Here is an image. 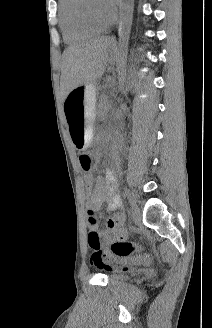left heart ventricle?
<instances>
[{
    "mask_svg": "<svg viewBox=\"0 0 212 328\" xmlns=\"http://www.w3.org/2000/svg\"><path fill=\"white\" fill-rule=\"evenodd\" d=\"M89 7L92 15L100 22L108 21L113 13V11L104 4L103 0H91Z\"/></svg>",
    "mask_w": 212,
    "mask_h": 328,
    "instance_id": "1",
    "label": "left heart ventricle"
}]
</instances>
